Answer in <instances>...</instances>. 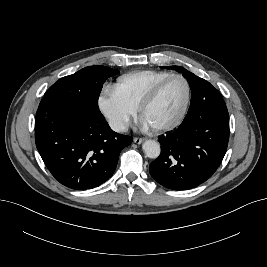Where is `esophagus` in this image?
<instances>
[{
	"mask_svg": "<svg viewBox=\"0 0 267 267\" xmlns=\"http://www.w3.org/2000/svg\"><path fill=\"white\" fill-rule=\"evenodd\" d=\"M133 141H134L136 144H141V143L144 141V138L135 137V138L133 139Z\"/></svg>",
	"mask_w": 267,
	"mask_h": 267,
	"instance_id": "obj_1",
	"label": "esophagus"
}]
</instances>
